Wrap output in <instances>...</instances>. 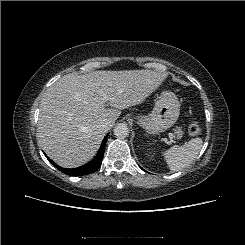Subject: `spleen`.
Returning a JSON list of instances; mask_svg holds the SVG:
<instances>
[{
    "label": "spleen",
    "instance_id": "spleen-1",
    "mask_svg": "<svg viewBox=\"0 0 245 245\" xmlns=\"http://www.w3.org/2000/svg\"><path fill=\"white\" fill-rule=\"evenodd\" d=\"M203 141L196 137L184 145H174L162 152L164 159L171 171H179L191 164L198 156Z\"/></svg>",
    "mask_w": 245,
    "mask_h": 245
}]
</instances>
